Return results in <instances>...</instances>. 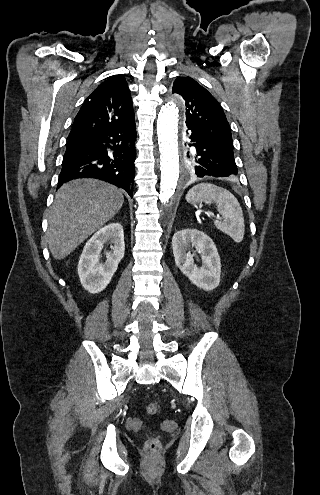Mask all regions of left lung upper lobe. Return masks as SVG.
Instances as JSON below:
<instances>
[{
  "mask_svg": "<svg viewBox=\"0 0 320 495\" xmlns=\"http://www.w3.org/2000/svg\"><path fill=\"white\" fill-rule=\"evenodd\" d=\"M172 93L181 95L186 102V125L193 127L225 150L233 152L231 129L224 111L204 87L191 77L179 76L174 81ZM187 156V170L189 175L194 176L198 153L192 149Z\"/></svg>",
  "mask_w": 320,
  "mask_h": 495,
  "instance_id": "left-lung-upper-lobe-1",
  "label": "left lung upper lobe"
}]
</instances>
